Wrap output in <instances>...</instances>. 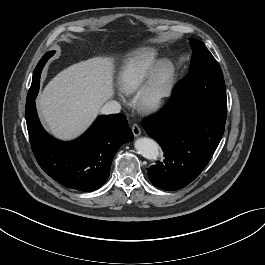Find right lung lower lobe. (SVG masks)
<instances>
[{"mask_svg": "<svg viewBox=\"0 0 265 265\" xmlns=\"http://www.w3.org/2000/svg\"><path fill=\"white\" fill-rule=\"evenodd\" d=\"M34 100L26 101L25 115L31 147L40 167L67 188L84 192L99 189L109 177L120 146L133 140L126 117H98L81 137L61 142L41 126Z\"/></svg>", "mask_w": 265, "mask_h": 265, "instance_id": "1", "label": "right lung lower lobe"}]
</instances>
